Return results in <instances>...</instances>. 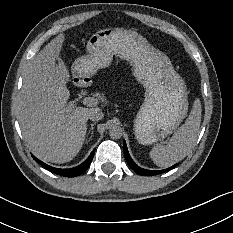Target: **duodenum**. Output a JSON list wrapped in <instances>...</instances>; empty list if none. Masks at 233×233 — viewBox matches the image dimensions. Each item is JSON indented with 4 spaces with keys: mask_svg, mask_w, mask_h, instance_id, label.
Returning a JSON list of instances; mask_svg holds the SVG:
<instances>
[{
    "mask_svg": "<svg viewBox=\"0 0 233 233\" xmlns=\"http://www.w3.org/2000/svg\"><path fill=\"white\" fill-rule=\"evenodd\" d=\"M80 85L81 86H84L85 85V82L83 80H80Z\"/></svg>",
    "mask_w": 233,
    "mask_h": 233,
    "instance_id": "1",
    "label": "duodenum"
}]
</instances>
